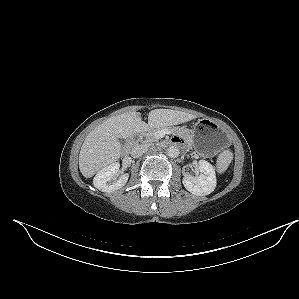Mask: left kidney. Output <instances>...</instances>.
I'll return each instance as SVG.
<instances>
[{
  "label": "left kidney",
  "mask_w": 299,
  "mask_h": 299,
  "mask_svg": "<svg viewBox=\"0 0 299 299\" xmlns=\"http://www.w3.org/2000/svg\"><path fill=\"white\" fill-rule=\"evenodd\" d=\"M200 174L192 176L186 174L183 177L184 187L194 195L203 196L212 193L216 187V174L213 166L205 161L198 162Z\"/></svg>",
  "instance_id": "5707ae66"
}]
</instances>
